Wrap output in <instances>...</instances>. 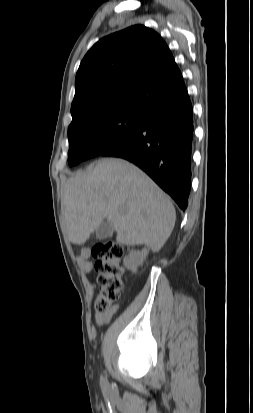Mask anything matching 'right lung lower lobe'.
I'll return each instance as SVG.
<instances>
[{"mask_svg": "<svg viewBox=\"0 0 253 413\" xmlns=\"http://www.w3.org/2000/svg\"><path fill=\"white\" fill-rule=\"evenodd\" d=\"M193 130V109L187 95L150 107L142 127L101 156L134 163L185 210L191 188Z\"/></svg>", "mask_w": 253, "mask_h": 413, "instance_id": "obj_1", "label": "right lung lower lobe"}]
</instances>
